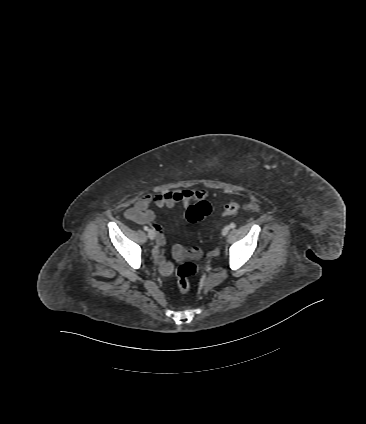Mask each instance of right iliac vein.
Segmentation results:
<instances>
[{"mask_svg":"<svg viewBox=\"0 0 366 424\" xmlns=\"http://www.w3.org/2000/svg\"><path fill=\"white\" fill-rule=\"evenodd\" d=\"M148 237L151 240H154L155 239V232L152 229L148 230Z\"/></svg>","mask_w":366,"mask_h":424,"instance_id":"63e3f726","label":"right iliac vein"}]
</instances>
